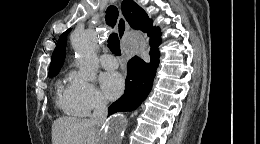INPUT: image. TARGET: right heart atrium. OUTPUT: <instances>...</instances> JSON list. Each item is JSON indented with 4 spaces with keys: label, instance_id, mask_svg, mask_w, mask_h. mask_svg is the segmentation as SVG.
I'll return each instance as SVG.
<instances>
[{
    "label": "right heart atrium",
    "instance_id": "obj_1",
    "mask_svg": "<svg viewBox=\"0 0 260 144\" xmlns=\"http://www.w3.org/2000/svg\"><path fill=\"white\" fill-rule=\"evenodd\" d=\"M70 101L78 115L87 116L92 111L106 107V100L89 80L73 72L68 86Z\"/></svg>",
    "mask_w": 260,
    "mask_h": 144
}]
</instances>
